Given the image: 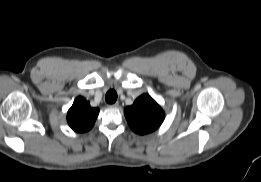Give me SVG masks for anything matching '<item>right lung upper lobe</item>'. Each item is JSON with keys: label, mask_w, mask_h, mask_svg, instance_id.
<instances>
[{"label": "right lung upper lobe", "mask_w": 261, "mask_h": 182, "mask_svg": "<svg viewBox=\"0 0 261 182\" xmlns=\"http://www.w3.org/2000/svg\"><path fill=\"white\" fill-rule=\"evenodd\" d=\"M99 114L98 108H92L83 97H77L67 113L69 126L76 132L90 130Z\"/></svg>", "instance_id": "obj_1"}]
</instances>
